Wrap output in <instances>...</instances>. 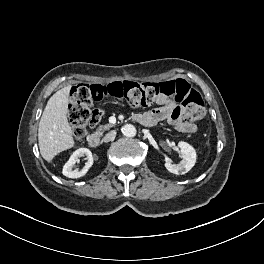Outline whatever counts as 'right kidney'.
Listing matches in <instances>:
<instances>
[{
	"mask_svg": "<svg viewBox=\"0 0 264 264\" xmlns=\"http://www.w3.org/2000/svg\"><path fill=\"white\" fill-rule=\"evenodd\" d=\"M82 156H86L87 162L85 163V166L79 170L75 167V164L79 162V157ZM92 164L93 157L91 151L87 148H79L72 153L69 160L65 163L62 173L68 178H80L87 173Z\"/></svg>",
	"mask_w": 264,
	"mask_h": 264,
	"instance_id": "right-kidney-1",
	"label": "right kidney"
}]
</instances>
